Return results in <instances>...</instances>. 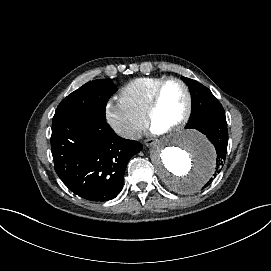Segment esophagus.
<instances>
[{"mask_svg": "<svg viewBox=\"0 0 271 271\" xmlns=\"http://www.w3.org/2000/svg\"><path fill=\"white\" fill-rule=\"evenodd\" d=\"M156 141H157L156 138H149V139L144 140V144H145L147 147H150V146H152L153 144H155Z\"/></svg>", "mask_w": 271, "mask_h": 271, "instance_id": "34e87169", "label": "esophagus"}]
</instances>
